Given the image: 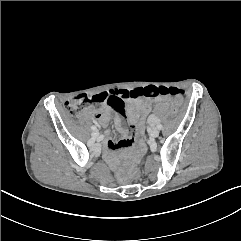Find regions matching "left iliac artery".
Here are the masks:
<instances>
[{"mask_svg":"<svg viewBox=\"0 0 241 241\" xmlns=\"http://www.w3.org/2000/svg\"><path fill=\"white\" fill-rule=\"evenodd\" d=\"M157 128L159 129V130H161L162 129V125L159 123V124H157Z\"/></svg>","mask_w":241,"mask_h":241,"instance_id":"left-iliac-artery-1","label":"left iliac artery"}]
</instances>
